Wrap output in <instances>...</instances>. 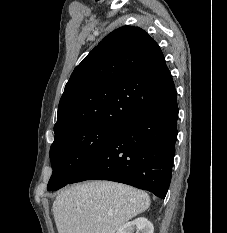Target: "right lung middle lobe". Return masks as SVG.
Segmentation results:
<instances>
[{
  "label": "right lung middle lobe",
  "mask_w": 227,
  "mask_h": 233,
  "mask_svg": "<svg viewBox=\"0 0 227 233\" xmlns=\"http://www.w3.org/2000/svg\"><path fill=\"white\" fill-rule=\"evenodd\" d=\"M118 128L108 125H87L56 135L50 149L53 173L48 190H58L67 185Z\"/></svg>",
  "instance_id": "dd1d6c3e"
}]
</instances>
